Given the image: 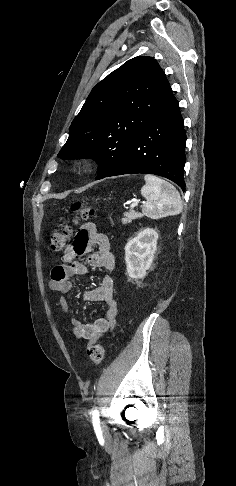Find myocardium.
I'll return each instance as SVG.
<instances>
[{
    "mask_svg": "<svg viewBox=\"0 0 236 486\" xmlns=\"http://www.w3.org/2000/svg\"><path fill=\"white\" fill-rule=\"evenodd\" d=\"M91 161L89 159H81L75 165V171L77 173H84L91 167Z\"/></svg>",
    "mask_w": 236,
    "mask_h": 486,
    "instance_id": "myocardium-1",
    "label": "myocardium"
}]
</instances>
